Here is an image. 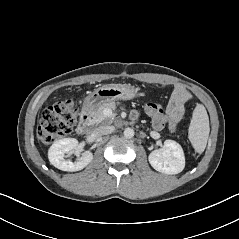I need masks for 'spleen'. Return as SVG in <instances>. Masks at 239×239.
<instances>
[{
    "label": "spleen",
    "mask_w": 239,
    "mask_h": 239,
    "mask_svg": "<svg viewBox=\"0 0 239 239\" xmlns=\"http://www.w3.org/2000/svg\"><path fill=\"white\" fill-rule=\"evenodd\" d=\"M209 117L205 107L197 104L192 115L188 130V138L198 153H202L207 145L209 137Z\"/></svg>",
    "instance_id": "3e777b00"
}]
</instances>
